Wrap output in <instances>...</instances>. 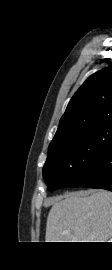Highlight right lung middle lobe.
<instances>
[{
    "label": "right lung middle lobe",
    "mask_w": 112,
    "mask_h": 270,
    "mask_svg": "<svg viewBox=\"0 0 112 270\" xmlns=\"http://www.w3.org/2000/svg\"><path fill=\"white\" fill-rule=\"evenodd\" d=\"M111 144L112 122H107L49 148L43 167L48 189L81 185L92 162Z\"/></svg>",
    "instance_id": "right-lung-middle-lobe-1"
}]
</instances>
